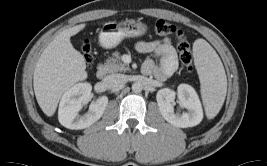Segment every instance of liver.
Here are the masks:
<instances>
[{"label":"liver","instance_id":"liver-1","mask_svg":"<svg viewBox=\"0 0 267 166\" xmlns=\"http://www.w3.org/2000/svg\"><path fill=\"white\" fill-rule=\"evenodd\" d=\"M85 26L79 24L59 33L44 49L35 66V96L49 117L54 115L63 93L87 78L85 58L70 42V37Z\"/></svg>","mask_w":267,"mask_h":166}]
</instances>
